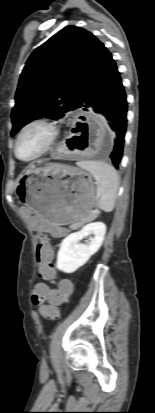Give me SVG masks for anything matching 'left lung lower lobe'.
I'll use <instances>...</instances> for the list:
<instances>
[{
  "instance_id": "0a47b994",
  "label": "left lung lower lobe",
  "mask_w": 155,
  "mask_h": 413,
  "mask_svg": "<svg viewBox=\"0 0 155 413\" xmlns=\"http://www.w3.org/2000/svg\"><path fill=\"white\" fill-rule=\"evenodd\" d=\"M80 107L85 111L87 108H92L96 113L105 117L116 132L110 158L115 168L118 169L123 155L124 135L127 127V101L120 74L109 51L90 81Z\"/></svg>"
}]
</instances>
